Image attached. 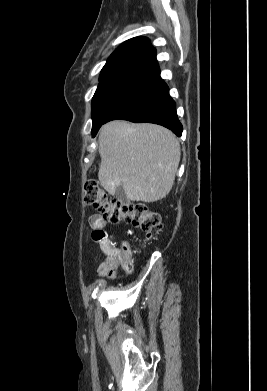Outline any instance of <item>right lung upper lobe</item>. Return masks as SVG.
Wrapping results in <instances>:
<instances>
[{"label":"right lung upper lobe","instance_id":"cb5924a9","mask_svg":"<svg viewBox=\"0 0 267 391\" xmlns=\"http://www.w3.org/2000/svg\"><path fill=\"white\" fill-rule=\"evenodd\" d=\"M160 69L156 50L146 37H136L121 44L108 58L100 78L114 75H139L156 77Z\"/></svg>","mask_w":267,"mask_h":391}]
</instances>
